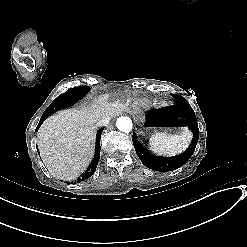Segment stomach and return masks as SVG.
Segmentation results:
<instances>
[{"instance_id":"1","label":"stomach","mask_w":247,"mask_h":247,"mask_svg":"<svg viewBox=\"0 0 247 247\" xmlns=\"http://www.w3.org/2000/svg\"><path fill=\"white\" fill-rule=\"evenodd\" d=\"M174 108V106L161 105L148 109L141 119L143 129L153 135L179 134L186 130L182 123L183 117Z\"/></svg>"}]
</instances>
